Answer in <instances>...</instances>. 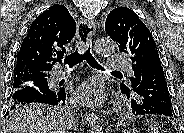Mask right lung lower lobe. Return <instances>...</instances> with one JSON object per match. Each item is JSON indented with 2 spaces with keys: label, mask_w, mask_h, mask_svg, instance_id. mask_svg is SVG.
<instances>
[{
  "label": "right lung lower lobe",
  "mask_w": 184,
  "mask_h": 133,
  "mask_svg": "<svg viewBox=\"0 0 184 133\" xmlns=\"http://www.w3.org/2000/svg\"><path fill=\"white\" fill-rule=\"evenodd\" d=\"M49 74H46V78ZM22 78H27L23 76ZM24 85L19 89L12 92V103L34 104L45 103L49 105H64L65 104V89L44 91L36 87L33 82L29 80H23Z\"/></svg>",
  "instance_id": "right-lung-lower-lobe-1"
}]
</instances>
